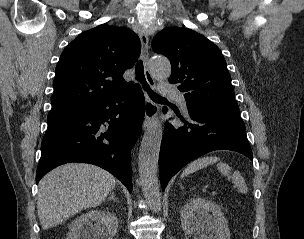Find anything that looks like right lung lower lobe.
<instances>
[{
    "label": "right lung lower lobe",
    "mask_w": 304,
    "mask_h": 239,
    "mask_svg": "<svg viewBox=\"0 0 304 239\" xmlns=\"http://www.w3.org/2000/svg\"><path fill=\"white\" fill-rule=\"evenodd\" d=\"M144 112V95L136 84L79 113L48 120L36 183L59 165L83 162L107 170L132 192L130 151Z\"/></svg>",
    "instance_id": "obj_1"
}]
</instances>
